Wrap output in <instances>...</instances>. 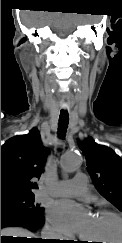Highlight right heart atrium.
I'll list each match as a JSON object with an SVG mask.
<instances>
[{"label": "right heart atrium", "instance_id": "d8ad5b80", "mask_svg": "<svg viewBox=\"0 0 122 243\" xmlns=\"http://www.w3.org/2000/svg\"><path fill=\"white\" fill-rule=\"evenodd\" d=\"M48 233L50 235L56 236V237H60L61 236L60 233L56 229H54L52 227H48Z\"/></svg>", "mask_w": 122, "mask_h": 243}]
</instances>
